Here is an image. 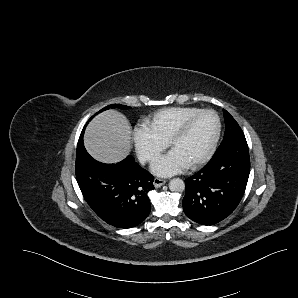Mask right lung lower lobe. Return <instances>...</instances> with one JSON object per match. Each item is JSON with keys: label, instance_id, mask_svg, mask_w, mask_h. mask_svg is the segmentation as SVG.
<instances>
[{"label": "right lung lower lobe", "instance_id": "right-lung-lower-lobe-1", "mask_svg": "<svg viewBox=\"0 0 298 298\" xmlns=\"http://www.w3.org/2000/svg\"><path fill=\"white\" fill-rule=\"evenodd\" d=\"M84 129L77 145L75 167L85 200L112 226L126 229L139 225L151 210L148 194L154 189V177L132 156L117 164L93 159L83 145Z\"/></svg>", "mask_w": 298, "mask_h": 298}]
</instances>
